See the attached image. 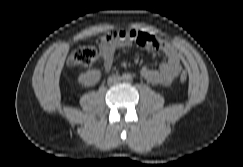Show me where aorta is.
I'll list each match as a JSON object with an SVG mask.
<instances>
[{"label":"aorta","mask_w":243,"mask_h":167,"mask_svg":"<svg viewBox=\"0 0 243 167\" xmlns=\"http://www.w3.org/2000/svg\"><path fill=\"white\" fill-rule=\"evenodd\" d=\"M123 79L126 80V81H129V80L132 79V77H131V75H129V74H125V75L123 76Z\"/></svg>","instance_id":"1"}]
</instances>
